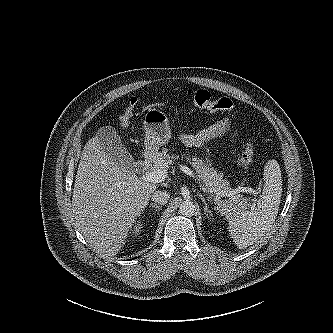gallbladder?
Wrapping results in <instances>:
<instances>
[{
    "label": "gallbladder",
    "instance_id": "bac80fb5",
    "mask_svg": "<svg viewBox=\"0 0 333 333\" xmlns=\"http://www.w3.org/2000/svg\"><path fill=\"white\" fill-rule=\"evenodd\" d=\"M96 136L100 139L104 152L112 160L132 172L136 170L137 163L122 143L115 128L111 126L102 127L98 130Z\"/></svg>",
    "mask_w": 333,
    "mask_h": 333
}]
</instances>
